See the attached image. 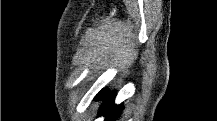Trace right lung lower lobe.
Wrapping results in <instances>:
<instances>
[{"instance_id": "1", "label": "right lung lower lobe", "mask_w": 217, "mask_h": 121, "mask_svg": "<svg viewBox=\"0 0 217 121\" xmlns=\"http://www.w3.org/2000/svg\"><path fill=\"white\" fill-rule=\"evenodd\" d=\"M104 99V103L102 104L99 115H104L105 121H112L120 114L122 110V105H114L115 93H109L104 90L100 91L95 99Z\"/></svg>"}]
</instances>
